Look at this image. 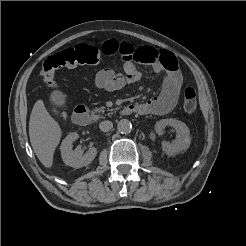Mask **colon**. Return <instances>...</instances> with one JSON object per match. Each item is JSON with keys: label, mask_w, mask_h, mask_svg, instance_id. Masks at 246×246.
<instances>
[{"label": "colon", "mask_w": 246, "mask_h": 246, "mask_svg": "<svg viewBox=\"0 0 246 246\" xmlns=\"http://www.w3.org/2000/svg\"><path fill=\"white\" fill-rule=\"evenodd\" d=\"M101 60V51L87 44H79L56 54L49 56L43 63L40 72L41 79L50 88H55V72L65 67L77 65L97 64ZM183 107L188 113L194 112L197 108V95L193 88H186L183 94ZM57 117H64L60 108H54Z\"/></svg>", "instance_id": "obj_1"}]
</instances>
